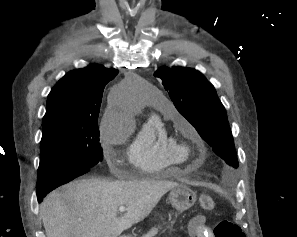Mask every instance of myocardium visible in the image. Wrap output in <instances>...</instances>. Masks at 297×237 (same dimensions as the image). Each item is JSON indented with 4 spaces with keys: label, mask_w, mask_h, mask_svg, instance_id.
Masks as SVG:
<instances>
[{
    "label": "myocardium",
    "mask_w": 297,
    "mask_h": 237,
    "mask_svg": "<svg viewBox=\"0 0 297 237\" xmlns=\"http://www.w3.org/2000/svg\"><path fill=\"white\" fill-rule=\"evenodd\" d=\"M184 149L189 153V147L187 145L184 144Z\"/></svg>",
    "instance_id": "1"
}]
</instances>
